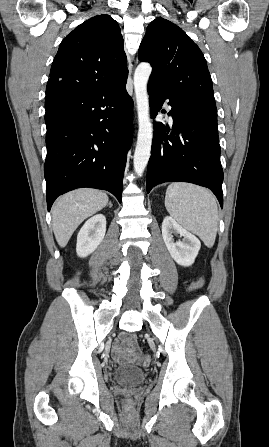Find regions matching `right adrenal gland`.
I'll return each mask as SVG.
<instances>
[{"instance_id": "2a0ac1e0", "label": "right adrenal gland", "mask_w": 269, "mask_h": 447, "mask_svg": "<svg viewBox=\"0 0 269 447\" xmlns=\"http://www.w3.org/2000/svg\"><path fill=\"white\" fill-rule=\"evenodd\" d=\"M108 206H109V208H112L113 204H111V202H109Z\"/></svg>"}]
</instances>
